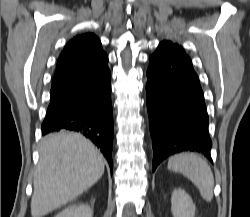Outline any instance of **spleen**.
Here are the masks:
<instances>
[{
    "label": "spleen",
    "instance_id": "1",
    "mask_svg": "<svg viewBox=\"0 0 250 217\" xmlns=\"http://www.w3.org/2000/svg\"><path fill=\"white\" fill-rule=\"evenodd\" d=\"M168 169L180 172L191 180L205 201L210 202L213 199L214 177L203 158L194 153L177 154L169 158Z\"/></svg>",
    "mask_w": 250,
    "mask_h": 217
}]
</instances>
